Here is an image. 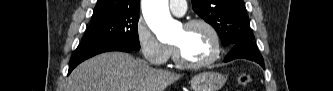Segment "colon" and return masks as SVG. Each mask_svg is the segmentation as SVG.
I'll return each mask as SVG.
<instances>
[{"label":"colon","mask_w":333,"mask_h":91,"mask_svg":"<svg viewBox=\"0 0 333 91\" xmlns=\"http://www.w3.org/2000/svg\"><path fill=\"white\" fill-rule=\"evenodd\" d=\"M238 83L243 88H248L252 84L251 76L247 73L241 74L238 78Z\"/></svg>","instance_id":"5ec220e1"}]
</instances>
